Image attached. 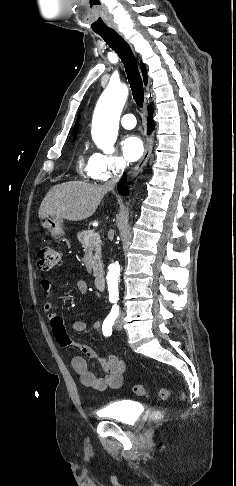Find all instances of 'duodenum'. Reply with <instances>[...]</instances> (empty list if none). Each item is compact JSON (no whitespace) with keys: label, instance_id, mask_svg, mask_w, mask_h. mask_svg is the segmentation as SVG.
<instances>
[{"label":"duodenum","instance_id":"obj_1","mask_svg":"<svg viewBox=\"0 0 236 486\" xmlns=\"http://www.w3.org/2000/svg\"><path fill=\"white\" fill-rule=\"evenodd\" d=\"M95 287L103 291L105 289V276L102 273H98L94 278Z\"/></svg>","mask_w":236,"mask_h":486}]
</instances>
